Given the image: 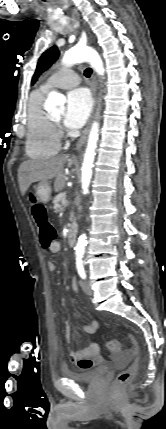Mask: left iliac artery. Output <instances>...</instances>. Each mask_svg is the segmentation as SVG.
I'll return each instance as SVG.
<instances>
[{"instance_id": "obj_1", "label": "left iliac artery", "mask_w": 166, "mask_h": 429, "mask_svg": "<svg viewBox=\"0 0 166 429\" xmlns=\"http://www.w3.org/2000/svg\"><path fill=\"white\" fill-rule=\"evenodd\" d=\"M76 268H77L79 276L82 279H85L86 273H85L84 266H83L82 256H80V255H77V257H76Z\"/></svg>"}]
</instances>
